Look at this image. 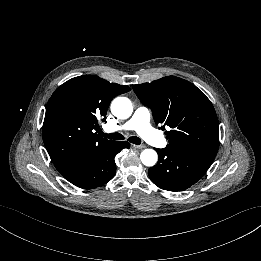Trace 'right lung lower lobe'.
<instances>
[{
	"label": "right lung lower lobe",
	"mask_w": 261,
	"mask_h": 261,
	"mask_svg": "<svg viewBox=\"0 0 261 261\" xmlns=\"http://www.w3.org/2000/svg\"><path fill=\"white\" fill-rule=\"evenodd\" d=\"M124 148H130V144L126 141L117 142L111 148L80 159L74 166L60 173L77 187L83 189L100 187L115 175L114 157Z\"/></svg>",
	"instance_id": "98d812e1"
}]
</instances>
